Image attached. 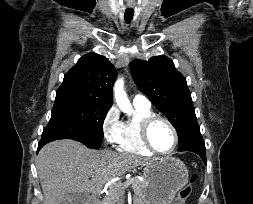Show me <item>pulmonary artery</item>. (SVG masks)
Segmentation results:
<instances>
[{
  "instance_id": "1",
  "label": "pulmonary artery",
  "mask_w": 253,
  "mask_h": 204,
  "mask_svg": "<svg viewBox=\"0 0 253 204\" xmlns=\"http://www.w3.org/2000/svg\"><path fill=\"white\" fill-rule=\"evenodd\" d=\"M133 104L137 106H142V107H150L151 102L150 100L142 94H135L133 97Z\"/></svg>"
}]
</instances>
